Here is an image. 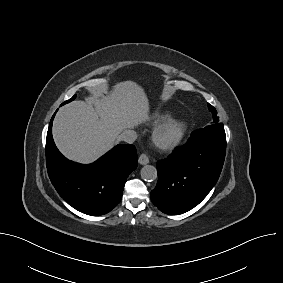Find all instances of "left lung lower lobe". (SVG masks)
<instances>
[{"label": "left lung lower lobe", "mask_w": 283, "mask_h": 283, "mask_svg": "<svg viewBox=\"0 0 283 283\" xmlns=\"http://www.w3.org/2000/svg\"><path fill=\"white\" fill-rule=\"evenodd\" d=\"M225 151V134L194 131L185 145L157 162L158 182L151 191L153 204L170 215L194 208L216 184Z\"/></svg>", "instance_id": "0a47b994"}]
</instances>
